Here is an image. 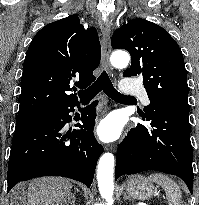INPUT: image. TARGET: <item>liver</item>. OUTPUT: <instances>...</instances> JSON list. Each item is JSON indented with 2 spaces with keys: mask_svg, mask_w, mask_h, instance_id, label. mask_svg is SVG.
I'll use <instances>...</instances> for the list:
<instances>
[{
  "mask_svg": "<svg viewBox=\"0 0 199 205\" xmlns=\"http://www.w3.org/2000/svg\"><path fill=\"white\" fill-rule=\"evenodd\" d=\"M69 180L57 177L37 178L30 182L26 195L20 198L27 205H72L73 195ZM13 191V197L16 190Z\"/></svg>",
  "mask_w": 199,
  "mask_h": 205,
  "instance_id": "1",
  "label": "liver"
}]
</instances>
